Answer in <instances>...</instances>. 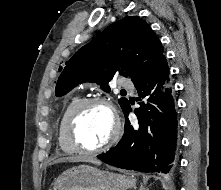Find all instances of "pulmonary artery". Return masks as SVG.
<instances>
[{"label": "pulmonary artery", "mask_w": 221, "mask_h": 190, "mask_svg": "<svg viewBox=\"0 0 221 190\" xmlns=\"http://www.w3.org/2000/svg\"><path fill=\"white\" fill-rule=\"evenodd\" d=\"M118 85L120 87H123V88H131L132 87V82L130 79L128 78H125V77H122L119 82H118Z\"/></svg>", "instance_id": "e3ab8cb5"}]
</instances>
